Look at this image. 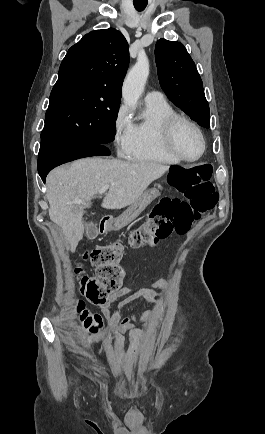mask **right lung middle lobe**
Segmentation results:
<instances>
[{
    "label": "right lung middle lobe",
    "mask_w": 265,
    "mask_h": 434,
    "mask_svg": "<svg viewBox=\"0 0 265 434\" xmlns=\"http://www.w3.org/2000/svg\"><path fill=\"white\" fill-rule=\"evenodd\" d=\"M120 98V93L94 82H56L50 94L41 142L110 143L115 135Z\"/></svg>",
    "instance_id": "obj_1"
}]
</instances>
